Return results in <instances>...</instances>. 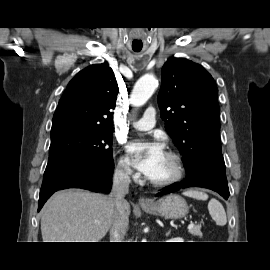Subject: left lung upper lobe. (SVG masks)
Returning <instances> with one entry per match:
<instances>
[{
  "label": "left lung upper lobe",
  "mask_w": 270,
  "mask_h": 270,
  "mask_svg": "<svg viewBox=\"0 0 270 270\" xmlns=\"http://www.w3.org/2000/svg\"><path fill=\"white\" fill-rule=\"evenodd\" d=\"M158 105L165 129L182 152L187 174L221 160L219 105L213 77L201 65L170 58L162 67Z\"/></svg>",
  "instance_id": "1"
}]
</instances>
